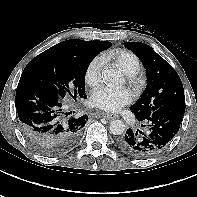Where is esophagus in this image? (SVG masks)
Masks as SVG:
<instances>
[{"instance_id": "1", "label": "esophagus", "mask_w": 197, "mask_h": 197, "mask_svg": "<svg viewBox=\"0 0 197 197\" xmlns=\"http://www.w3.org/2000/svg\"><path fill=\"white\" fill-rule=\"evenodd\" d=\"M100 116L106 119H115L117 117V115L109 113H101Z\"/></svg>"}]
</instances>
